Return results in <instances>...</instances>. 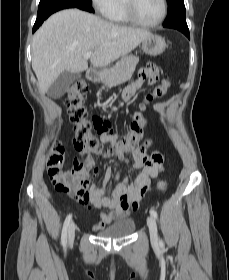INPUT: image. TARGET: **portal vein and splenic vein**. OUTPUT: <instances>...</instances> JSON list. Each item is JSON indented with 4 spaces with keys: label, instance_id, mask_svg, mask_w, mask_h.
<instances>
[{
    "label": "portal vein and splenic vein",
    "instance_id": "18ae733b",
    "mask_svg": "<svg viewBox=\"0 0 229 280\" xmlns=\"http://www.w3.org/2000/svg\"><path fill=\"white\" fill-rule=\"evenodd\" d=\"M92 53H93L92 51H89V52L85 53L84 56H83L84 59H86V60L89 59L91 57Z\"/></svg>",
    "mask_w": 229,
    "mask_h": 280
}]
</instances>
